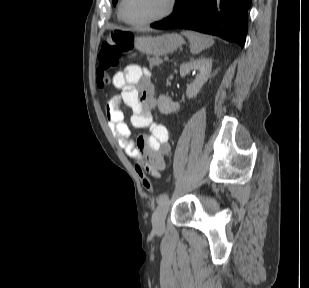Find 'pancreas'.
Returning <instances> with one entry per match:
<instances>
[{"mask_svg": "<svg viewBox=\"0 0 309 288\" xmlns=\"http://www.w3.org/2000/svg\"><path fill=\"white\" fill-rule=\"evenodd\" d=\"M148 61H149V64H150L151 67L159 66L163 63V60L159 57L149 58Z\"/></svg>", "mask_w": 309, "mask_h": 288, "instance_id": "cf45deb5", "label": "pancreas"}]
</instances>
